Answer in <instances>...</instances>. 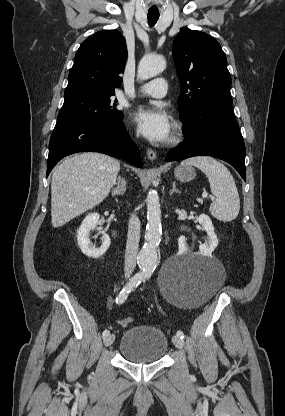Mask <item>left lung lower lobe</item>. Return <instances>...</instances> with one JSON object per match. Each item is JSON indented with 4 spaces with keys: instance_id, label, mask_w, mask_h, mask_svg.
I'll list each match as a JSON object with an SVG mask.
<instances>
[{
    "instance_id": "0a47b994",
    "label": "left lung lower lobe",
    "mask_w": 285,
    "mask_h": 416,
    "mask_svg": "<svg viewBox=\"0 0 285 416\" xmlns=\"http://www.w3.org/2000/svg\"><path fill=\"white\" fill-rule=\"evenodd\" d=\"M184 136L183 143L167 155V162L212 156L231 164L246 181L245 144L235 120L213 122Z\"/></svg>"
}]
</instances>
